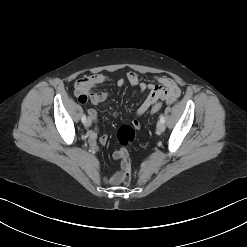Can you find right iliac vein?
Here are the masks:
<instances>
[{"instance_id": "1", "label": "right iliac vein", "mask_w": 247, "mask_h": 247, "mask_svg": "<svg viewBox=\"0 0 247 247\" xmlns=\"http://www.w3.org/2000/svg\"><path fill=\"white\" fill-rule=\"evenodd\" d=\"M91 124H92V122H91V119H89V118L84 122V125H85L86 127H90Z\"/></svg>"}]
</instances>
